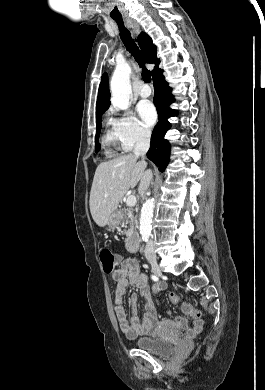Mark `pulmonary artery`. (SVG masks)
Masks as SVG:
<instances>
[{
    "mask_svg": "<svg viewBox=\"0 0 265 390\" xmlns=\"http://www.w3.org/2000/svg\"><path fill=\"white\" fill-rule=\"evenodd\" d=\"M137 93L138 95L141 97V98H147L150 96L151 94V89L148 85L146 84H141L138 88H137Z\"/></svg>",
    "mask_w": 265,
    "mask_h": 390,
    "instance_id": "obj_1",
    "label": "pulmonary artery"
}]
</instances>
